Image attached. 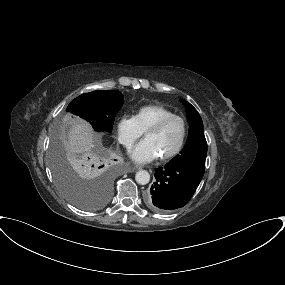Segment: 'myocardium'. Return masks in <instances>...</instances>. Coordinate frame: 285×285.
Segmentation results:
<instances>
[{"label":"myocardium","mask_w":285,"mask_h":285,"mask_svg":"<svg viewBox=\"0 0 285 285\" xmlns=\"http://www.w3.org/2000/svg\"><path fill=\"white\" fill-rule=\"evenodd\" d=\"M174 119L179 120L181 122V124H182V128H183L182 137H181V140H180L178 146L172 152H170V153H168L166 155L158 157L161 161L171 160L174 157H176L182 151V149H183V147L185 145V142H186L187 131H188L186 120L182 116H180V115H176V114L169 115V116L161 118L160 120H158L157 122L152 124L150 127H148L143 132V136L144 137L148 133L157 132V131L161 130L168 122H170V121H172Z\"/></svg>","instance_id":"myocardium-1"}]
</instances>
